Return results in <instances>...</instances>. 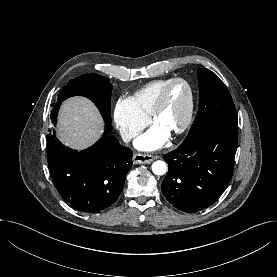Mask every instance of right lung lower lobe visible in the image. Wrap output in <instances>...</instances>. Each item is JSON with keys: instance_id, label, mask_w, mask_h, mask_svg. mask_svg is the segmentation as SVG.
I'll return each instance as SVG.
<instances>
[{"instance_id": "obj_1", "label": "right lung lower lobe", "mask_w": 277, "mask_h": 277, "mask_svg": "<svg viewBox=\"0 0 277 277\" xmlns=\"http://www.w3.org/2000/svg\"><path fill=\"white\" fill-rule=\"evenodd\" d=\"M58 109L51 113L56 125ZM105 124V135L90 148L77 152L64 147L55 131L47 135L48 166L55 187L74 208L97 213L112 205L123 190L126 174L132 166L133 152L106 135L112 126Z\"/></svg>"}]
</instances>
